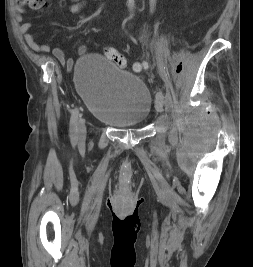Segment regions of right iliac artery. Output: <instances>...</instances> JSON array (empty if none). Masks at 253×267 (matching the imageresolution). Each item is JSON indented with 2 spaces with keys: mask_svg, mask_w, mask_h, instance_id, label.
Segmentation results:
<instances>
[{
  "mask_svg": "<svg viewBox=\"0 0 253 267\" xmlns=\"http://www.w3.org/2000/svg\"><path fill=\"white\" fill-rule=\"evenodd\" d=\"M78 117H79V110L76 108L72 111L70 118V140L73 145H75L78 140V128H77Z\"/></svg>",
  "mask_w": 253,
  "mask_h": 267,
  "instance_id": "1",
  "label": "right iliac artery"
}]
</instances>
